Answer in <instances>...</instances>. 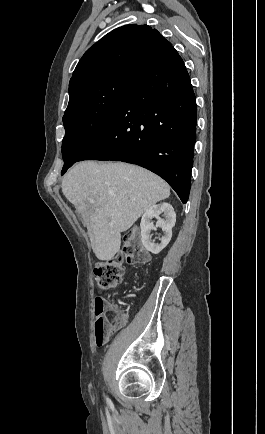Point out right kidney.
<instances>
[{"label": "right kidney", "instance_id": "ca27d5eb", "mask_svg": "<svg viewBox=\"0 0 265 434\" xmlns=\"http://www.w3.org/2000/svg\"><path fill=\"white\" fill-rule=\"evenodd\" d=\"M159 214H164L165 220L159 218ZM157 218L156 226H153L151 220ZM176 222V214L171 204H157V206H150L148 210H145V214L142 216L140 228H141V240L144 248L152 254H159L163 248H166L172 238V228H174ZM153 228H162L165 236L161 238V244H154L151 240V230Z\"/></svg>", "mask_w": 265, "mask_h": 434}]
</instances>
